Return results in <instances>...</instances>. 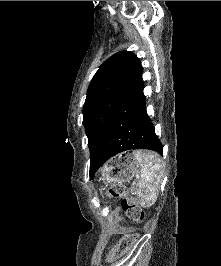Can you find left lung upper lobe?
Returning a JSON list of instances; mask_svg holds the SVG:
<instances>
[{"mask_svg":"<svg viewBox=\"0 0 221 266\" xmlns=\"http://www.w3.org/2000/svg\"><path fill=\"white\" fill-rule=\"evenodd\" d=\"M142 72L139 58L124 50L108 58L91 80L83 107L90 161L118 109L144 83Z\"/></svg>","mask_w":221,"mask_h":266,"instance_id":"1","label":"left lung upper lobe"}]
</instances>
